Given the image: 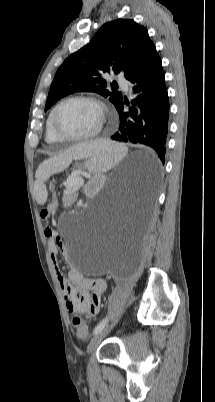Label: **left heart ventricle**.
<instances>
[{"label":"left heart ventricle","mask_w":215,"mask_h":402,"mask_svg":"<svg viewBox=\"0 0 215 402\" xmlns=\"http://www.w3.org/2000/svg\"><path fill=\"white\" fill-rule=\"evenodd\" d=\"M57 122L69 135H84L97 129L101 112L97 105L87 101H71L61 107Z\"/></svg>","instance_id":"b2bd125f"}]
</instances>
